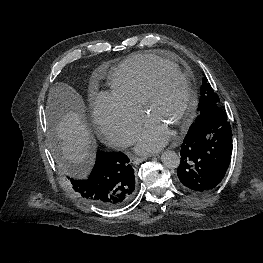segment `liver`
<instances>
[{"label": "liver", "mask_w": 263, "mask_h": 263, "mask_svg": "<svg viewBox=\"0 0 263 263\" xmlns=\"http://www.w3.org/2000/svg\"><path fill=\"white\" fill-rule=\"evenodd\" d=\"M50 114L56 118L54 131L66 160L75 166L90 161L94 143L87 125L82 120V101L78 93L66 84L50 90Z\"/></svg>", "instance_id": "1"}]
</instances>
